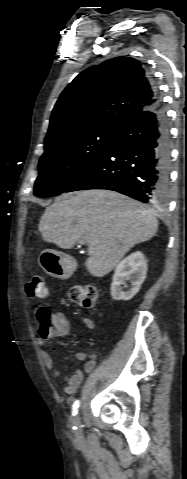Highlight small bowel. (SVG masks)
Instances as JSON below:
<instances>
[{
	"label": "small bowel",
	"mask_w": 187,
	"mask_h": 479,
	"mask_svg": "<svg viewBox=\"0 0 187 479\" xmlns=\"http://www.w3.org/2000/svg\"><path fill=\"white\" fill-rule=\"evenodd\" d=\"M53 318L58 326L56 337L62 338L68 336L70 325L66 316L63 313L57 312L53 314ZM82 320L87 328L95 330V322L90 317L84 316ZM40 344L42 345L43 343L41 342ZM40 356L51 376L56 379L62 378V372L60 368L55 365L51 355L48 352L41 350ZM72 357L79 361H83L84 366L83 369H78L73 374L63 377V392L67 395H72L77 391L82 384L84 373L92 372L96 365V356L94 353L77 352L73 354Z\"/></svg>",
	"instance_id": "1"
}]
</instances>
